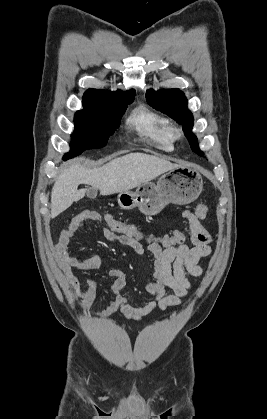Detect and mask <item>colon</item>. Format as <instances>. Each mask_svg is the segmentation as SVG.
Segmentation results:
<instances>
[{"label": "colon", "instance_id": "obj_1", "mask_svg": "<svg viewBox=\"0 0 267 419\" xmlns=\"http://www.w3.org/2000/svg\"><path fill=\"white\" fill-rule=\"evenodd\" d=\"M207 213L208 207L205 204H199L194 210V214L200 218L205 217ZM104 222L106 228L117 236L119 243L129 247L136 245H161L166 247L178 244L185 239V234L181 230H176L173 233L164 236L145 234L134 224L117 220L110 215L104 216Z\"/></svg>", "mask_w": 267, "mask_h": 419}]
</instances>
